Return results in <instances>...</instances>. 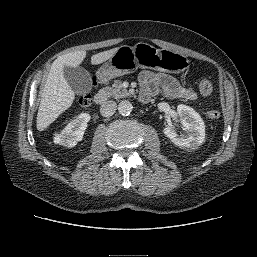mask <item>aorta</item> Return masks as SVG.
Wrapping results in <instances>:
<instances>
[{
  "label": "aorta",
  "instance_id": "762f6f07",
  "mask_svg": "<svg viewBox=\"0 0 257 257\" xmlns=\"http://www.w3.org/2000/svg\"><path fill=\"white\" fill-rule=\"evenodd\" d=\"M133 106L131 102L124 100L121 101L118 105V111L121 115L127 116L132 112Z\"/></svg>",
  "mask_w": 257,
  "mask_h": 257
}]
</instances>
